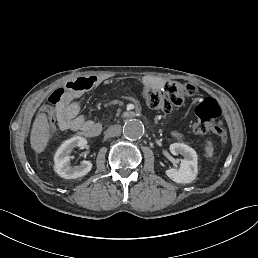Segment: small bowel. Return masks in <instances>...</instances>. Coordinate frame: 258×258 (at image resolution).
I'll list each match as a JSON object with an SVG mask.
<instances>
[{
    "label": "small bowel",
    "mask_w": 258,
    "mask_h": 258,
    "mask_svg": "<svg viewBox=\"0 0 258 258\" xmlns=\"http://www.w3.org/2000/svg\"><path fill=\"white\" fill-rule=\"evenodd\" d=\"M107 78L97 75L78 77L66 83L72 89L65 100L59 105L52 116L51 121L61 130L79 131L87 136H96L101 131V125L91 119H87L80 114L79 99L87 92L105 84ZM176 138L183 135L177 131L173 132Z\"/></svg>",
    "instance_id": "small-bowel-1"
}]
</instances>
